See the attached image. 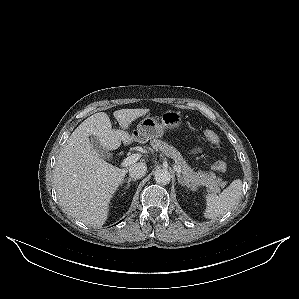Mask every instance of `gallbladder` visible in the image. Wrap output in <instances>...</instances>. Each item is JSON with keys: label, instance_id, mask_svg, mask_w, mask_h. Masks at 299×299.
Here are the masks:
<instances>
[{"label": "gallbladder", "instance_id": "obj_1", "mask_svg": "<svg viewBox=\"0 0 299 299\" xmlns=\"http://www.w3.org/2000/svg\"><path fill=\"white\" fill-rule=\"evenodd\" d=\"M89 140L92 149L95 150L101 157L108 158L110 156L94 135H90Z\"/></svg>", "mask_w": 299, "mask_h": 299}]
</instances>
